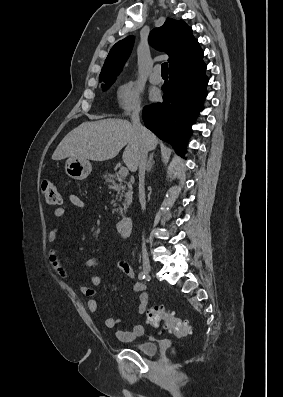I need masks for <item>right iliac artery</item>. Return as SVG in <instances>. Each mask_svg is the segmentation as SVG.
<instances>
[{
  "label": "right iliac artery",
  "mask_w": 283,
  "mask_h": 397,
  "mask_svg": "<svg viewBox=\"0 0 283 397\" xmlns=\"http://www.w3.org/2000/svg\"><path fill=\"white\" fill-rule=\"evenodd\" d=\"M138 278H139L140 280L145 279V273H144V272H140L139 275H138Z\"/></svg>",
  "instance_id": "obj_1"
}]
</instances>
